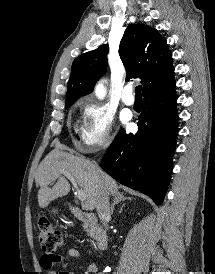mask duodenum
Wrapping results in <instances>:
<instances>
[{
    "mask_svg": "<svg viewBox=\"0 0 215 274\" xmlns=\"http://www.w3.org/2000/svg\"><path fill=\"white\" fill-rule=\"evenodd\" d=\"M71 211L73 215L83 223L88 224L93 230V236L96 246L99 250H105L108 246V238L106 232L98 223V220L94 214L84 212L78 207L71 205Z\"/></svg>",
    "mask_w": 215,
    "mask_h": 274,
    "instance_id": "1",
    "label": "duodenum"
}]
</instances>
